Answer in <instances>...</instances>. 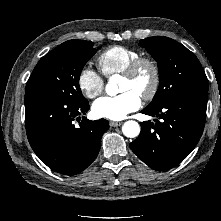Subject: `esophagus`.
<instances>
[{
	"label": "esophagus",
	"mask_w": 221,
	"mask_h": 221,
	"mask_svg": "<svg viewBox=\"0 0 221 221\" xmlns=\"http://www.w3.org/2000/svg\"><path fill=\"white\" fill-rule=\"evenodd\" d=\"M109 124L111 127H117L120 126L122 122L110 121Z\"/></svg>",
	"instance_id": "34e87169"
}]
</instances>
